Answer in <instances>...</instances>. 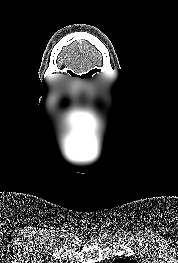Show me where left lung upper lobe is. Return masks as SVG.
I'll return each instance as SVG.
<instances>
[{"instance_id":"5c2ea615","label":"left lung upper lobe","mask_w":178,"mask_h":263,"mask_svg":"<svg viewBox=\"0 0 178 263\" xmlns=\"http://www.w3.org/2000/svg\"><path fill=\"white\" fill-rule=\"evenodd\" d=\"M113 263H138L136 260H131L129 258L122 259L120 261L115 260Z\"/></svg>"}]
</instances>
